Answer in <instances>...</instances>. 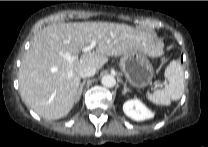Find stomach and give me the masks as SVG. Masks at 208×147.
I'll list each match as a JSON object with an SVG mask.
<instances>
[{"label":"stomach","mask_w":208,"mask_h":147,"mask_svg":"<svg viewBox=\"0 0 208 147\" xmlns=\"http://www.w3.org/2000/svg\"><path fill=\"white\" fill-rule=\"evenodd\" d=\"M129 84L136 88L147 86L153 78V67L145 53L132 50L123 55L119 64Z\"/></svg>","instance_id":"obj_1"}]
</instances>
